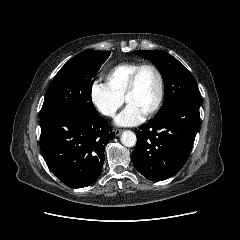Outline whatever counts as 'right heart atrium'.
Instances as JSON below:
<instances>
[{"label": "right heart atrium", "instance_id": "d8ad5b80", "mask_svg": "<svg viewBox=\"0 0 240 240\" xmlns=\"http://www.w3.org/2000/svg\"><path fill=\"white\" fill-rule=\"evenodd\" d=\"M89 94L94 108L106 117H113L123 104V98L100 80L91 83Z\"/></svg>", "mask_w": 240, "mask_h": 240}]
</instances>
